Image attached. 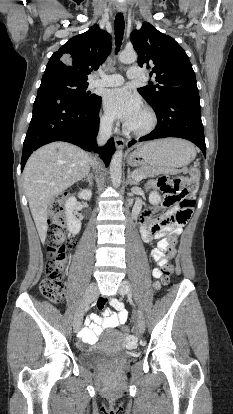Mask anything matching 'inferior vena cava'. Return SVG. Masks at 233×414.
Wrapping results in <instances>:
<instances>
[{"label": "inferior vena cava", "instance_id": "obj_1", "mask_svg": "<svg viewBox=\"0 0 233 414\" xmlns=\"http://www.w3.org/2000/svg\"><path fill=\"white\" fill-rule=\"evenodd\" d=\"M112 124H113L112 119H106L101 122L99 133L97 136V142L99 145H104L110 138L111 133H112ZM91 165L96 168L100 167V161L96 155L91 157Z\"/></svg>", "mask_w": 233, "mask_h": 414}]
</instances>
